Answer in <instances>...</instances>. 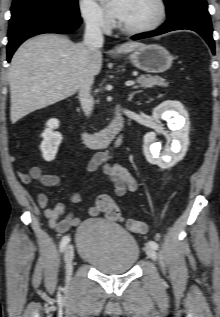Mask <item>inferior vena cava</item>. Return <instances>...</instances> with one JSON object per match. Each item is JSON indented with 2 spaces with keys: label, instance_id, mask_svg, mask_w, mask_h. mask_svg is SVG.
Here are the masks:
<instances>
[{
  "label": "inferior vena cava",
  "instance_id": "602c4592",
  "mask_svg": "<svg viewBox=\"0 0 220 317\" xmlns=\"http://www.w3.org/2000/svg\"><path fill=\"white\" fill-rule=\"evenodd\" d=\"M103 42L104 38L100 28L99 19L97 17L88 19L84 33V45L91 53L101 48L103 46ZM93 81V77L87 76L79 89V100L86 116L90 115L94 106V99L91 95V86Z\"/></svg>",
  "mask_w": 220,
  "mask_h": 317
}]
</instances>
